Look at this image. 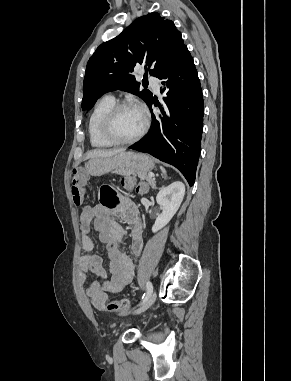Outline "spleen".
Segmentation results:
<instances>
[{
    "mask_svg": "<svg viewBox=\"0 0 291 381\" xmlns=\"http://www.w3.org/2000/svg\"><path fill=\"white\" fill-rule=\"evenodd\" d=\"M160 169H161V171H162L163 175H164V176H165V178H166V170H165L163 167H160Z\"/></svg>",
    "mask_w": 291,
    "mask_h": 381,
    "instance_id": "1",
    "label": "spleen"
}]
</instances>
